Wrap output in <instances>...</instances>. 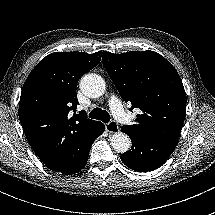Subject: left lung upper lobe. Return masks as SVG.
Instances as JSON below:
<instances>
[{
  "mask_svg": "<svg viewBox=\"0 0 215 215\" xmlns=\"http://www.w3.org/2000/svg\"><path fill=\"white\" fill-rule=\"evenodd\" d=\"M103 65L125 102L142 113L121 129L145 138L178 139L185 119L186 94L176 69L154 51L103 52Z\"/></svg>",
  "mask_w": 215,
  "mask_h": 215,
  "instance_id": "obj_1",
  "label": "left lung upper lobe"
}]
</instances>
